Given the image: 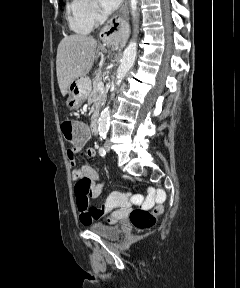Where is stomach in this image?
I'll return each instance as SVG.
<instances>
[{
	"instance_id": "1",
	"label": "stomach",
	"mask_w": 240,
	"mask_h": 288,
	"mask_svg": "<svg viewBox=\"0 0 240 288\" xmlns=\"http://www.w3.org/2000/svg\"><path fill=\"white\" fill-rule=\"evenodd\" d=\"M91 92V81L87 76L73 81L68 88V99L66 106L70 109H78L87 99Z\"/></svg>"
}]
</instances>
